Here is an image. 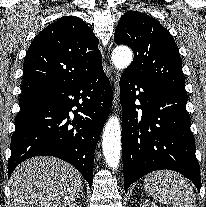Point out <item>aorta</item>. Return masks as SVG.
<instances>
[{
	"mask_svg": "<svg viewBox=\"0 0 206 207\" xmlns=\"http://www.w3.org/2000/svg\"><path fill=\"white\" fill-rule=\"evenodd\" d=\"M132 59V51L125 46L115 48L112 53L113 64L119 70L127 68ZM102 148L108 166L113 170L117 169L121 151V126L116 116L110 117L105 125Z\"/></svg>",
	"mask_w": 206,
	"mask_h": 207,
	"instance_id": "1",
	"label": "aorta"
}]
</instances>
